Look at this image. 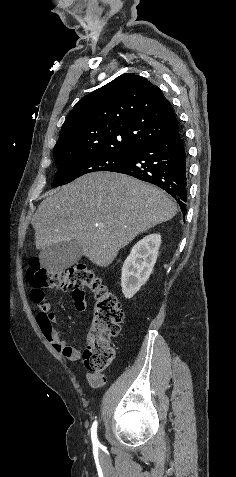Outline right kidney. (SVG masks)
Returning a JSON list of instances; mask_svg holds the SVG:
<instances>
[{"mask_svg": "<svg viewBox=\"0 0 236 477\" xmlns=\"http://www.w3.org/2000/svg\"><path fill=\"white\" fill-rule=\"evenodd\" d=\"M161 244L159 234H151L135 244L122 267L121 286L125 298H132L149 279Z\"/></svg>", "mask_w": 236, "mask_h": 477, "instance_id": "1", "label": "right kidney"}]
</instances>
